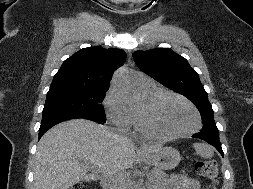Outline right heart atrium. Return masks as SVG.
<instances>
[{
	"label": "right heart atrium",
	"mask_w": 253,
	"mask_h": 189,
	"mask_svg": "<svg viewBox=\"0 0 253 189\" xmlns=\"http://www.w3.org/2000/svg\"><path fill=\"white\" fill-rule=\"evenodd\" d=\"M106 117L110 124L120 130H128L133 125L131 108L126 104L122 94L114 87L107 92L104 101Z\"/></svg>",
	"instance_id": "d8ad5b80"
}]
</instances>
